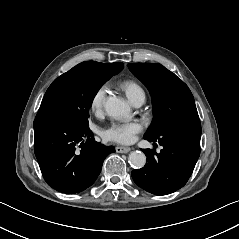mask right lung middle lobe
Returning <instances> with one entry per match:
<instances>
[{
  "mask_svg": "<svg viewBox=\"0 0 239 239\" xmlns=\"http://www.w3.org/2000/svg\"><path fill=\"white\" fill-rule=\"evenodd\" d=\"M112 76L96 67L76 65L52 82L36 118L62 116L81 127H88L92 101L101 86Z\"/></svg>",
  "mask_w": 239,
  "mask_h": 239,
  "instance_id": "obj_1",
  "label": "right lung middle lobe"
}]
</instances>
